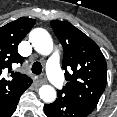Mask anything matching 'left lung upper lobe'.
Here are the masks:
<instances>
[{"mask_svg": "<svg viewBox=\"0 0 117 117\" xmlns=\"http://www.w3.org/2000/svg\"><path fill=\"white\" fill-rule=\"evenodd\" d=\"M51 27L64 50L63 69L68 83L61 92L92 112L107 83L106 60L98 45L71 23L51 21Z\"/></svg>", "mask_w": 117, "mask_h": 117, "instance_id": "1", "label": "left lung upper lobe"}]
</instances>
